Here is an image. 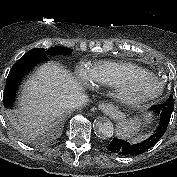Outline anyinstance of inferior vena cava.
<instances>
[{
  "label": "inferior vena cava",
  "instance_id": "inferior-vena-cava-1",
  "mask_svg": "<svg viewBox=\"0 0 177 177\" xmlns=\"http://www.w3.org/2000/svg\"><path fill=\"white\" fill-rule=\"evenodd\" d=\"M87 101L88 96L83 91H73L61 99L60 106L64 109H73L81 106Z\"/></svg>",
  "mask_w": 177,
  "mask_h": 177
}]
</instances>
